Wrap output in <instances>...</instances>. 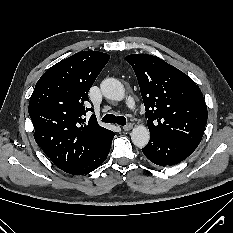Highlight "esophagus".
<instances>
[{
    "label": "esophagus",
    "instance_id": "1",
    "mask_svg": "<svg viewBox=\"0 0 233 233\" xmlns=\"http://www.w3.org/2000/svg\"><path fill=\"white\" fill-rule=\"evenodd\" d=\"M132 127H133V124L132 123H128L127 125L123 126L122 129L124 131H129V130L132 129Z\"/></svg>",
    "mask_w": 233,
    "mask_h": 233
}]
</instances>
